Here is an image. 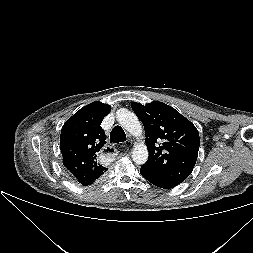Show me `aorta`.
<instances>
[{"label": "aorta", "instance_id": "aorta-1", "mask_svg": "<svg viewBox=\"0 0 253 253\" xmlns=\"http://www.w3.org/2000/svg\"><path fill=\"white\" fill-rule=\"evenodd\" d=\"M116 118L122 128L127 130L135 137L142 136L143 128L137 116L125 109L121 108L116 112ZM132 159L136 164L142 165L148 159V150L145 144L140 143L133 148Z\"/></svg>", "mask_w": 253, "mask_h": 253}]
</instances>
